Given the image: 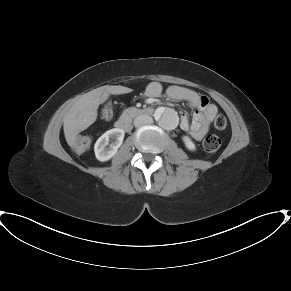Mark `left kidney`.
Returning <instances> with one entry per match:
<instances>
[{"label":"left kidney","instance_id":"1","mask_svg":"<svg viewBox=\"0 0 291 291\" xmlns=\"http://www.w3.org/2000/svg\"><path fill=\"white\" fill-rule=\"evenodd\" d=\"M182 139L187 149L191 151H194L196 149L195 144L191 141V139L188 136H183Z\"/></svg>","mask_w":291,"mask_h":291}]
</instances>
